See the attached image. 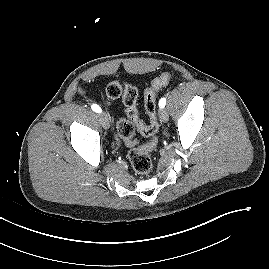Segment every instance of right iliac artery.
Returning <instances> with one entry per match:
<instances>
[{
    "instance_id": "obj_1",
    "label": "right iliac artery",
    "mask_w": 269,
    "mask_h": 269,
    "mask_svg": "<svg viewBox=\"0 0 269 269\" xmlns=\"http://www.w3.org/2000/svg\"><path fill=\"white\" fill-rule=\"evenodd\" d=\"M91 108H92V110L93 111H95V112H97V113H101V108H100V106L99 105H97V104H93L92 106H91Z\"/></svg>"
}]
</instances>
